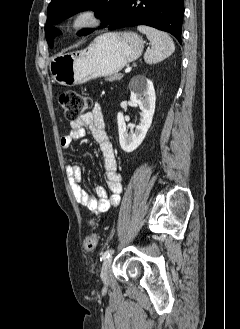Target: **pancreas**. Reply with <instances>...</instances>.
Wrapping results in <instances>:
<instances>
[{
	"label": "pancreas",
	"mask_w": 240,
	"mask_h": 329,
	"mask_svg": "<svg viewBox=\"0 0 240 329\" xmlns=\"http://www.w3.org/2000/svg\"><path fill=\"white\" fill-rule=\"evenodd\" d=\"M122 77H123L122 74H114L113 76L107 78V80L112 82V81L120 80Z\"/></svg>",
	"instance_id": "pancreas-1"
}]
</instances>
